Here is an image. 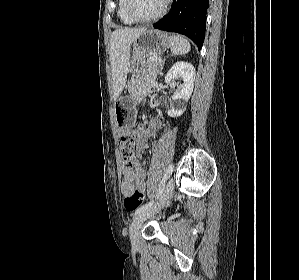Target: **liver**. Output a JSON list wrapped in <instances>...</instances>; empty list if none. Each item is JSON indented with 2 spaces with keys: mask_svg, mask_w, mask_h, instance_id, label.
<instances>
[{
  "mask_svg": "<svg viewBox=\"0 0 299 280\" xmlns=\"http://www.w3.org/2000/svg\"><path fill=\"white\" fill-rule=\"evenodd\" d=\"M147 29H116L110 37V63L113 78V99L116 101L124 89L129 69L132 42Z\"/></svg>",
  "mask_w": 299,
  "mask_h": 280,
  "instance_id": "liver-1",
  "label": "liver"
}]
</instances>
